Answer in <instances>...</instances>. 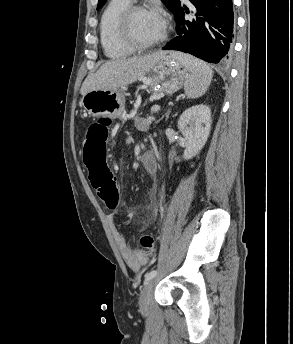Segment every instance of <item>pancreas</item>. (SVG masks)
Listing matches in <instances>:
<instances>
[{"instance_id":"cf45deb5","label":"pancreas","mask_w":293,"mask_h":344,"mask_svg":"<svg viewBox=\"0 0 293 344\" xmlns=\"http://www.w3.org/2000/svg\"><path fill=\"white\" fill-rule=\"evenodd\" d=\"M151 124V121L150 120H145L144 121V128L147 129Z\"/></svg>"}]
</instances>
